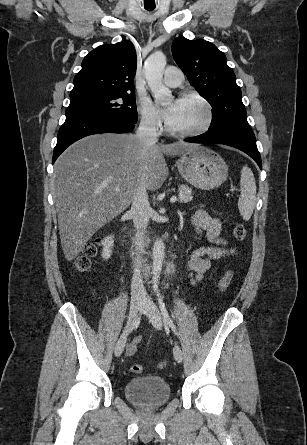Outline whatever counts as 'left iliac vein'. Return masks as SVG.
I'll list each match as a JSON object with an SVG mask.
<instances>
[{
    "label": "left iliac vein",
    "instance_id": "1",
    "mask_svg": "<svg viewBox=\"0 0 307 445\" xmlns=\"http://www.w3.org/2000/svg\"><path fill=\"white\" fill-rule=\"evenodd\" d=\"M142 312L144 315L147 316V318L150 320V322L156 329L160 330L162 328L163 322H162L161 313H160L158 307L156 306V304L151 299H149V298L144 299L143 306H142ZM173 354H174L175 360L178 363L182 362L183 355H182V350L179 347V345H177V344L174 345Z\"/></svg>",
    "mask_w": 307,
    "mask_h": 445
}]
</instances>
